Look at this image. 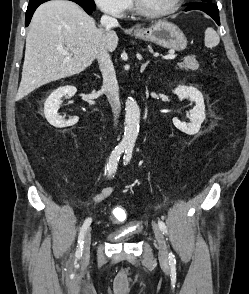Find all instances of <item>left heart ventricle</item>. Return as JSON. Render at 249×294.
<instances>
[{
  "label": "left heart ventricle",
  "mask_w": 249,
  "mask_h": 294,
  "mask_svg": "<svg viewBox=\"0 0 249 294\" xmlns=\"http://www.w3.org/2000/svg\"><path fill=\"white\" fill-rule=\"evenodd\" d=\"M142 4L150 10L161 11L173 6L176 0H141Z\"/></svg>",
  "instance_id": "obj_1"
}]
</instances>
